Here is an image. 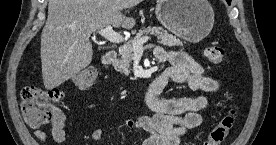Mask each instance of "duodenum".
<instances>
[{"label": "duodenum", "mask_w": 276, "mask_h": 145, "mask_svg": "<svg viewBox=\"0 0 276 145\" xmlns=\"http://www.w3.org/2000/svg\"><path fill=\"white\" fill-rule=\"evenodd\" d=\"M116 58H117V51L114 49H110L105 52V54L103 56V63L105 65H111L112 63H114ZM155 85L159 88H162L165 85V82L161 78H158L156 80Z\"/></svg>", "instance_id": "duodenum-1"}]
</instances>
